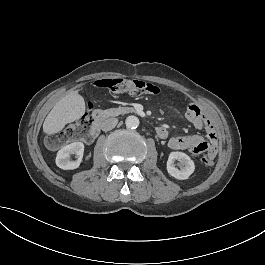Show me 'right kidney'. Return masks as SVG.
Returning a JSON list of instances; mask_svg holds the SVG:
<instances>
[{"label":"right kidney","mask_w":265,"mask_h":265,"mask_svg":"<svg viewBox=\"0 0 265 265\" xmlns=\"http://www.w3.org/2000/svg\"><path fill=\"white\" fill-rule=\"evenodd\" d=\"M84 153V144L82 142H74L61 148L56 156V165L63 170H73L79 167ZM75 154L76 161L70 159Z\"/></svg>","instance_id":"1"}]
</instances>
